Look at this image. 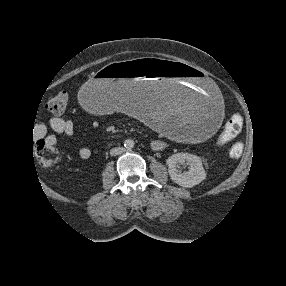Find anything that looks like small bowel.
<instances>
[{
    "instance_id": "small-bowel-1",
    "label": "small bowel",
    "mask_w": 286,
    "mask_h": 286,
    "mask_svg": "<svg viewBox=\"0 0 286 286\" xmlns=\"http://www.w3.org/2000/svg\"><path fill=\"white\" fill-rule=\"evenodd\" d=\"M93 127L97 128L98 127V123L94 122L93 123ZM51 129L54 133H50L48 134V130ZM75 131V124L72 120H66V119H62V118H51L47 124L45 123H40L38 125H36L35 129H34V136L35 137H45L46 141L52 145L57 143V136L58 135H62L65 138H69ZM241 145L240 143H235L234 145H232V147L230 148V156L232 158H238L241 154V151L237 154H234L231 152V149ZM154 146L160 149H163L165 147V142L164 141H156L154 143ZM242 146V145H241ZM92 155V152L89 148L87 147H83L79 150V156L82 159H89Z\"/></svg>"
}]
</instances>
